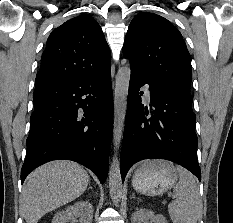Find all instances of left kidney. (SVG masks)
I'll return each instance as SVG.
<instances>
[{
  "label": "left kidney",
  "instance_id": "obj_1",
  "mask_svg": "<svg viewBox=\"0 0 233 223\" xmlns=\"http://www.w3.org/2000/svg\"><path fill=\"white\" fill-rule=\"evenodd\" d=\"M132 223H168L162 213H156L151 209H138L132 213ZM150 219V221H149Z\"/></svg>",
  "mask_w": 233,
  "mask_h": 223
}]
</instances>
